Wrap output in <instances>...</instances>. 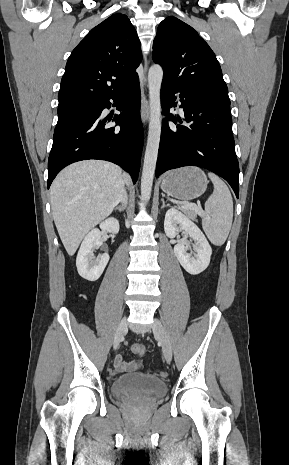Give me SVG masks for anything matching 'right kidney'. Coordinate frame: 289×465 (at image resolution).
Here are the masks:
<instances>
[{"mask_svg":"<svg viewBox=\"0 0 289 465\" xmlns=\"http://www.w3.org/2000/svg\"><path fill=\"white\" fill-rule=\"evenodd\" d=\"M100 229L110 233H118L119 222L115 218H108L101 222ZM102 232L94 228L84 238L76 258V266L79 275L88 280L96 281L102 275L108 261L109 255L104 253L99 259H93L94 250L98 249L102 244Z\"/></svg>","mask_w":289,"mask_h":465,"instance_id":"ca27d5eb","label":"right kidney"}]
</instances>
